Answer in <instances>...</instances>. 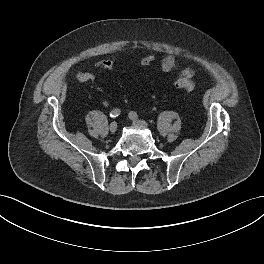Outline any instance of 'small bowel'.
<instances>
[{
	"label": "small bowel",
	"instance_id": "obj_1",
	"mask_svg": "<svg viewBox=\"0 0 264 264\" xmlns=\"http://www.w3.org/2000/svg\"><path fill=\"white\" fill-rule=\"evenodd\" d=\"M178 69H179V63L173 55H167L161 61V70L163 72L166 73L173 72V71H177ZM189 70L193 77L195 75V71L193 69H189ZM77 79L80 82H89V81H94L96 79V76L89 72H79L77 74Z\"/></svg>",
	"mask_w": 264,
	"mask_h": 264
}]
</instances>
